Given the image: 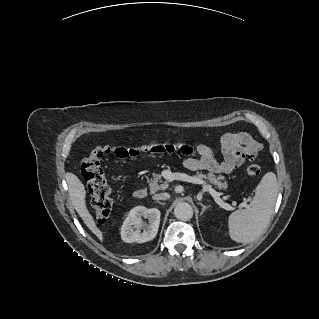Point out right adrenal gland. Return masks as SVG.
Returning <instances> with one entry per match:
<instances>
[{"instance_id": "right-adrenal-gland-1", "label": "right adrenal gland", "mask_w": 319, "mask_h": 319, "mask_svg": "<svg viewBox=\"0 0 319 319\" xmlns=\"http://www.w3.org/2000/svg\"><path fill=\"white\" fill-rule=\"evenodd\" d=\"M159 204H161V205H164L165 203H161V202H158Z\"/></svg>"}]
</instances>
